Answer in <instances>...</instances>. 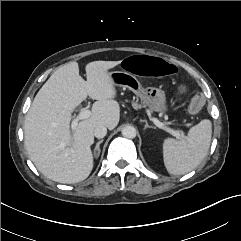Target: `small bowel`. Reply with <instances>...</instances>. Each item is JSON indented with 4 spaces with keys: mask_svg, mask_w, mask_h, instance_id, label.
I'll return each instance as SVG.
<instances>
[{
    "mask_svg": "<svg viewBox=\"0 0 241 241\" xmlns=\"http://www.w3.org/2000/svg\"><path fill=\"white\" fill-rule=\"evenodd\" d=\"M150 55V54H149ZM134 56H137V55H134ZM156 56V55H155ZM160 57V56H159ZM184 91V87H182L181 89H180V92H183Z\"/></svg>",
    "mask_w": 241,
    "mask_h": 241,
    "instance_id": "c3829d8e",
    "label": "small bowel"
}]
</instances>
